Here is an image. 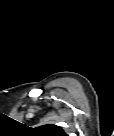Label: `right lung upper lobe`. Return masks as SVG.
<instances>
[{
  "mask_svg": "<svg viewBox=\"0 0 114 136\" xmlns=\"http://www.w3.org/2000/svg\"><path fill=\"white\" fill-rule=\"evenodd\" d=\"M35 132L41 136H65L61 127L52 124L37 127Z\"/></svg>",
  "mask_w": 114,
  "mask_h": 136,
  "instance_id": "obj_1",
  "label": "right lung upper lobe"
}]
</instances>
